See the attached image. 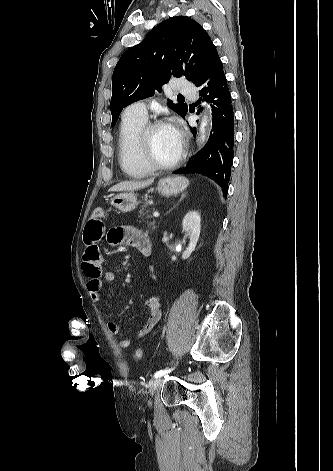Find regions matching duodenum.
Segmentation results:
<instances>
[{
	"label": "duodenum",
	"mask_w": 333,
	"mask_h": 471,
	"mask_svg": "<svg viewBox=\"0 0 333 471\" xmlns=\"http://www.w3.org/2000/svg\"><path fill=\"white\" fill-rule=\"evenodd\" d=\"M139 250L146 256L151 253V242L149 239L144 240L139 247Z\"/></svg>",
	"instance_id": "410a0bca"
}]
</instances>
